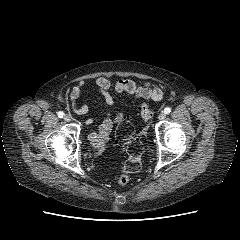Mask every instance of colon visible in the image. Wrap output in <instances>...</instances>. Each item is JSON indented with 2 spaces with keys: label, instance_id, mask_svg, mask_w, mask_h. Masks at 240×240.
<instances>
[{
  "label": "colon",
  "instance_id": "colon-1",
  "mask_svg": "<svg viewBox=\"0 0 240 240\" xmlns=\"http://www.w3.org/2000/svg\"><path fill=\"white\" fill-rule=\"evenodd\" d=\"M141 114L143 118L149 119L153 116L152 110L147 105H142ZM115 143L123 146L128 154V160L124 165V172L118 178L119 185L129 182V175L141 170V156L143 146L139 139L133 136V126L127 119H122L117 126Z\"/></svg>",
  "mask_w": 240,
  "mask_h": 240
}]
</instances>
